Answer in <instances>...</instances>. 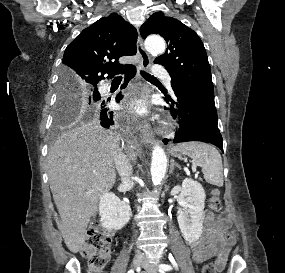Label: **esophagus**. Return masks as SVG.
Here are the masks:
<instances>
[{"label":"esophagus","mask_w":285,"mask_h":273,"mask_svg":"<svg viewBox=\"0 0 285 273\" xmlns=\"http://www.w3.org/2000/svg\"><path fill=\"white\" fill-rule=\"evenodd\" d=\"M137 54L140 57V66L142 69H148L150 67V63H151V59L149 54L147 53V51L144 48L143 45V40L140 37V35H138V39H137ZM141 95L143 96V98L145 100H149L150 98V89L147 85H143L141 88ZM141 132H142V136L144 138V140L148 143L151 142V135H150V124L143 121L141 123Z\"/></svg>","instance_id":"34e87169"}]
</instances>
